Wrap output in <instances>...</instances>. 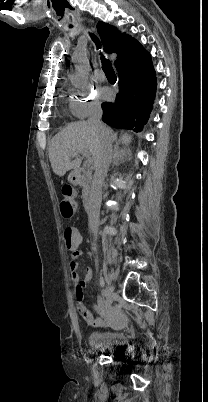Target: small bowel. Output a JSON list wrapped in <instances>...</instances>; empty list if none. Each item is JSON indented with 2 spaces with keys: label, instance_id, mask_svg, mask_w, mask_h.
Here are the masks:
<instances>
[{
  "label": "small bowel",
  "instance_id": "1",
  "mask_svg": "<svg viewBox=\"0 0 208 402\" xmlns=\"http://www.w3.org/2000/svg\"><path fill=\"white\" fill-rule=\"evenodd\" d=\"M79 242L80 243H85L86 242V237L81 235L79 237ZM70 269H71V277L72 281L75 285V297L77 299H83L85 292V284L91 279L92 277V271L91 269H87L84 277H81L80 274L77 272L78 269V263L77 262H71L70 263ZM106 300L104 298H100L97 305L95 306V310L97 312V316H89L87 320L91 323L90 327L93 330H123L127 327V324L123 321H113L116 317V310L111 309L107 310L106 306ZM118 315L120 317H123L125 315V312L123 310H120L118 312Z\"/></svg>",
  "mask_w": 208,
  "mask_h": 402
}]
</instances>
